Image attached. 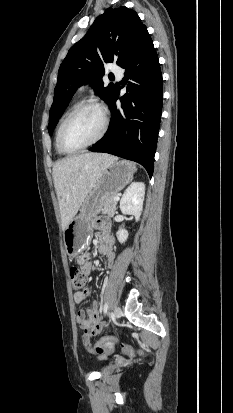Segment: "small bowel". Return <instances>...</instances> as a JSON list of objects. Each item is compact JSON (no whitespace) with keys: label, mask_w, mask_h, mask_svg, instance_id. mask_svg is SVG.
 Listing matches in <instances>:
<instances>
[{"label":"small bowel","mask_w":233,"mask_h":413,"mask_svg":"<svg viewBox=\"0 0 233 413\" xmlns=\"http://www.w3.org/2000/svg\"><path fill=\"white\" fill-rule=\"evenodd\" d=\"M95 226L102 230V233L99 236V252L105 258L107 266L111 268L114 263L115 255L113 250V238L108 233V223L105 220H98L95 222ZM82 255L83 256L79 257V265L82 273L87 276L92 270V264L85 260L84 256L87 255L86 251H83ZM89 294L90 290L88 289L81 292H75L73 296L75 303H83ZM77 323L84 331L83 340L86 344L89 342L91 336L101 333L108 327L106 323L101 321L100 309L96 301L92 302L90 309L78 311ZM99 355L102 357L105 356L104 352L99 353Z\"/></svg>","instance_id":"1"}]
</instances>
